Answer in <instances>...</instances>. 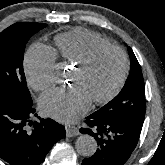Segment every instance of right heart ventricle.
<instances>
[{"mask_svg": "<svg viewBox=\"0 0 165 165\" xmlns=\"http://www.w3.org/2000/svg\"><path fill=\"white\" fill-rule=\"evenodd\" d=\"M56 56L64 62L77 64L92 48L108 44L98 34L84 28H75L57 35L54 39Z\"/></svg>", "mask_w": 165, "mask_h": 165, "instance_id": "obj_1", "label": "right heart ventricle"}]
</instances>
